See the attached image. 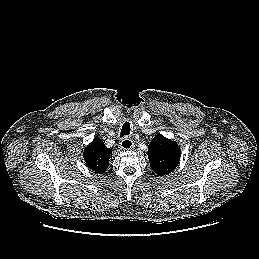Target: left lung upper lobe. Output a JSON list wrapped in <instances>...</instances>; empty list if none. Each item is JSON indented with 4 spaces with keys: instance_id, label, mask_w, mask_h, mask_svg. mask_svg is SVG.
<instances>
[{
    "instance_id": "obj_1",
    "label": "left lung upper lobe",
    "mask_w": 259,
    "mask_h": 259,
    "mask_svg": "<svg viewBox=\"0 0 259 259\" xmlns=\"http://www.w3.org/2000/svg\"><path fill=\"white\" fill-rule=\"evenodd\" d=\"M181 149L178 144L162 135L155 136L148 147L152 170L159 176L172 172L179 164Z\"/></svg>"
}]
</instances>
